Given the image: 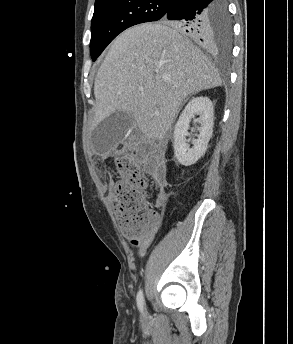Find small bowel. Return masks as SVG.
I'll list each match as a JSON object with an SVG mask.
<instances>
[{
  "label": "small bowel",
  "instance_id": "obj_1",
  "mask_svg": "<svg viewBox=\"0 0 293 344\" xmlns=\"http://www.w3.org/2000/svg\"><path fill=\"white\" fill-rule=\"evenodd\" d=\"M164 204H165V195H164V191L161 189L158 193L156 205L158 207H162ZM152 240H153L152 237L147 236V237H140V238L133 239L130 241V243L133 247H136L138 250V253L142 255L151 245Z\"/></svg>",
  "mask_w": 293,
  "mask_h": 344
}]
</instances>
